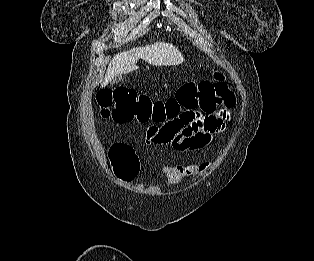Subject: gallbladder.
I'll list each match as a JSON object with an SVG mask.
<instances>
[{
  "instance_id": "bac80fb5",
  "label": "gallbladder",
  "mask_w": 314,
  "mask_h": 261,
  "mask_svg": "<svg viewBox=\"0 0 314 261\" xmlns=\"http://www.w3.org/2000/svg\"><path fill=\"white\" fill-rule=\"evenodd\" d=\"M121 80H122V76H121V75H118V76H115V77L113 78V80L111 81V83H112V84L119 83Z\"/></svg>"
}]
</instances>
